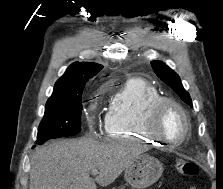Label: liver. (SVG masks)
<instances>
[{"label":"liver","instance_id":"1","mask_svg":"<svg viewBox=\"0 0 223 189\" xmlns=\"http://www.w3.org/2000/svg\"><path fill=\"white\" fill-rule=\"evenodd\" d=\"M137 145L92 138L57 140L36 149L29 189H97L113 183L140 154ZM93 170L98 176L90 177Z\"/></svg>","mask_w":223,"mask_h":189}]
</instances>
